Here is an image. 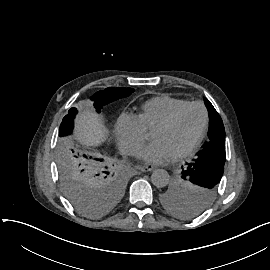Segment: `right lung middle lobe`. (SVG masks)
<instances>
[{
	"instance_id": "dd1d6c3e",
	"label": "right lung middle lobe",
	"mask_w": 270,
	"mask_h": 270,
	"mask_svg": "<svg viewBox=\"0 0 270 270\" xmlns=\"http://www.w3.org/2000/svg\"><path fill=\"white\" fill-rule=\"evenodd\" d=\"M132 88H106L91 100L97 112L117 99L129 96ZM91 105V104H90ZM76 108L63 118L59 136L71 134ZM75 141L60 139L57 147V169L62 192L69 203L83 215L97 217L110 210L122 197L125 176L121 167L108 154L83 152Z\"/></svg>"
}]
</instances>
